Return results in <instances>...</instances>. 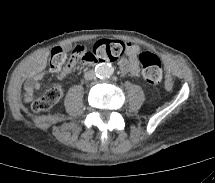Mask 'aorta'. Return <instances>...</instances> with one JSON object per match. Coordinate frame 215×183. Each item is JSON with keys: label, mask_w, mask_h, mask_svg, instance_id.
Here are the masks:
<instances>
[{"label": "aorta", "mask_w": 215, "mask_h": 183, "mask_svg": "<svg viewBox=\"0 0 215 183\" xmlns=\"http://www.w3.org/2000/svg\"><path fill=\"white\" fill-rule=\"evenodd\" d=\"M114 72L113 67L108 63H101L95 67V73L98 77L107 78Z\"/></svg>", "instance_id": "aorta-1"}]
</instances>
